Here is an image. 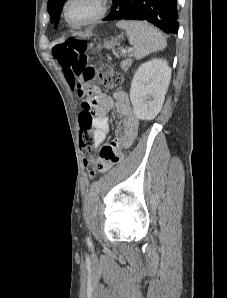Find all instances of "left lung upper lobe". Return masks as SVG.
<instances>
[{"instance_id": "obj_1", "label": "left lung upper lobe", "mask_w": 227, "mask_h": 298, "mask_svg": "<svg viewBox=\"0 0 227 298\" xmlns=\"http://www.w3.org/2000/svg\"><path fill=\"white\" fill-rule=\"evenodd\" d=\"M66 0H49L47 4L48 13L50 15V21L54 22L56 28L59 22L60 13L63 7V3Z\"/></svg>"}]
</instances>
